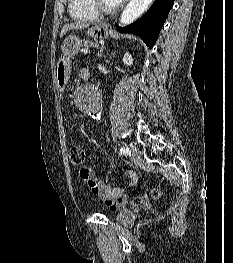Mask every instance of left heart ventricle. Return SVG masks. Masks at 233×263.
Wrapping results in <instances>:
<instances>
[{
	"label": "left heart ventricle",
	"mask_w": 233,
	"mask_h": 263,
	"mask_svg": "<svg viewBox=\"0 0 233 263\" xmlns=\"http://www.w3.org/2000/svg\"><path fill=\"white\" fill-rule=\"evenodd\" d=\"M101 4L105 7L111 8L118 4L116 0H100Z\"/></svg>",
	"instance_id": "b2bd125f"
}]
</instances>
